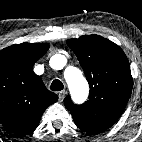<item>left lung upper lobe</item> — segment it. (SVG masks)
Returning a JSON list of instances; mask_svg holds the SVG:
<instances>
[{"instance_id":"obj_1","label":"left lung upper lobe","mask_w":142,"mask_h":142,"mask_svg":"<svg viewBox=\"0 0 142 142\" xmlns=\"http://www.w3.org/2000/svg\"><path fill=\"white\" fill-rule=\"evenodd\" d=\"M67 45L85 72L90 95L82 105L74 104L69 96L64 104L79 129L89 134L103 132L119 119L131 95L129 61L118 45L98 35L69 39Z\"/></svg>"}]
</instances>
